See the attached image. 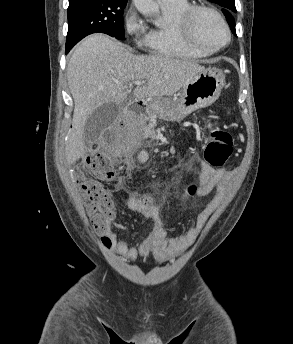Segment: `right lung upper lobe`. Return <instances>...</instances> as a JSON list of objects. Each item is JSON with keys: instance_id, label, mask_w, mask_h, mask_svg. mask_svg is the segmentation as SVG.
Returning <instances> with one entry per match:
<instances>
[{"instance_id": "1", "label": "right lung upper lobe", "mask_w": 293, "mask_h": 344, "mask_svg": "<svg viewBox=\"0 0 293 344\" xmlns=\"http://www.w3.org/2000/svg\"><path fill=\"white\" fill-rule=\"evenodd\" d=\"M80 1H82V0H69V4L80 2ZM120 1H127V0H120Z\"/></svg>"}]
</instances>
